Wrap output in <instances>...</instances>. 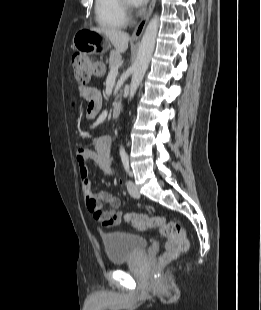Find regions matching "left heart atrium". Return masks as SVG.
Returning <instances> with one entry per match:
<instances>
[{
    "mask_svg": "<svg viewBox=\"0 0 261 310\" xmlns=\"http://www.w3.org/2000/svg\"><path fill=\"white\" fill-rule=\"evenodd\" d=\"M133 6L141 7L145 5L148 0H128Z\"/></svg>",
    "mask_w": 261,
    "mask_h": 310,
    "instance_id": "left-heart-atrium-1",
    "label": "left heart atrium"
}]
</instances>
